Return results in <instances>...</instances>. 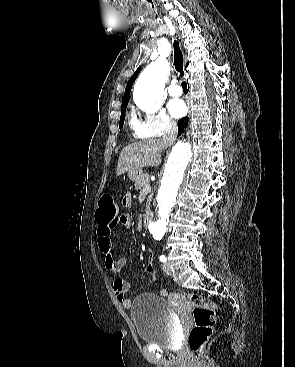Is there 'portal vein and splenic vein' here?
I'll return each instance as SVG.
<instances>
[{
    "label": "portal vein and splenic vein",
    "instance_id": "1",
    "mask_svg": "<svg viewBox=\"0 0 295 367\" xmlns=\"http://www.w3.org/2000/svg\"><path fill=\"white\" fill-rule=\"evenodd\" d=\"M145 192H148L150 191V185L149 184H146L145 185V189H144Z\"/></svg>",
    "mask_w": 295,
    "mask_h": 367
}]
</instances>
